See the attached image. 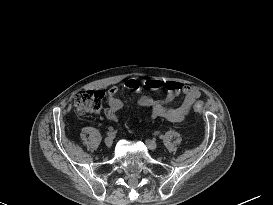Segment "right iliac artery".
Returning <instances> with one entry per match:
<instances>
[{"instance_id":"obj_1","label":"right iliac artery","mask_w":273,"mask_h":205,"mask_svg":"<svg viewBox=\"0 0 273 205\" xmlns=\"http://www.w3.org/2000/svg\"><path fill=\"white\" fill-rule=\"evenodd\" d=\"M107 135L111 136V137H114L115 136V132H112V131L111 132H107Z\"/></svg>"}]
</instances>
